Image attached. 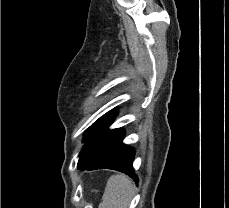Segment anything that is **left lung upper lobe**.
<instances>
[{
  "label": "left lung upper lobe",
  "mask_w": 229,
  "mask_h": 208,
  "mask_svg": "<svg viewBox=\"0 0 229 208\" xmlns=\"http://www.w3.org/2000/svg\"><path fill=\"white\" fill-rule=\"evenodd\" d=\"M115 111L112 110L107 114L100 117L94 124L93 128H88L84 135V140L90 138L92 135L96 134L97 132L106 130L108 126L113 122L115 117ZM115 130H122V129H115Z\"/></svg>",
  "instance_id": "left-lung-upper-lobe-1"
}]
</instances>
